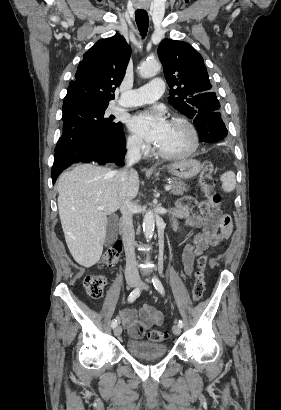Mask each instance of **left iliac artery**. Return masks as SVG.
Here are the masks:
<instances>
[{
    "mask_svg": "<svg viewBox=\"0 0 281 410\" xmlns=\"http://www.w3.org/2000/svg\"><path fill=\"white\" fill-rule=\"evenodd\" d=\"M152 283H153L155 289H156L161 295H164V294H165L164 287H163L161 281H160L156 276H153V278H152ZM178 325H179L180 327H183V321H182V320H179V321H178Z\"/></svg>",
    "mask_w": 281,
    "mask_h": 410,
    "instance_id": "left-iliac-artery-1",
    "label": "left iliac artery"
}]
</instances>
